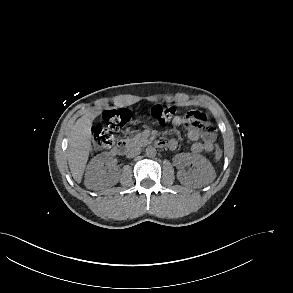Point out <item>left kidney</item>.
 I'll list each match as a JSON object with an SVG mask.
<instances>
[{
	"mask_svg": "<svg viewBox=\"0 0 293 293\" xmlns=\"http://www.w3.org/2000/svg\"><path fill=\"white\" fill-rule=\"evenodd\" d=\"M179 157L184 164H192L194 171L186 172L179 170L177 172V179L182 184L192 183L198 187L205 186L212 182L215 176V171L212 164L202 155L181 153Z\"/></svg>",
	"mask_w": 293,
	"mask_h": 293,
	"instance_id": "obj_1",
	"label": "left kidney"
}]
</instances>
